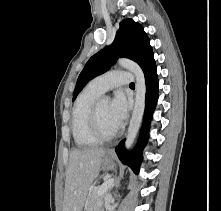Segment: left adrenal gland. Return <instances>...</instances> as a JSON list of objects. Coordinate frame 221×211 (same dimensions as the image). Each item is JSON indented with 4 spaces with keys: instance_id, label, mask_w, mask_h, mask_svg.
<instances>
[{
    "instance_id": "1",
    "label": "left adrenal gland",
    "mask_w": 221,
    "mask_h": 211,
    "mask_svg": "<svg viewBox=\"0 0 221 211\" xmlns=\"http://www.w3.org/2000/svg\"><path fill=\"white\" fill-rule=\"evenodd\" d=\"M113 186H115L116 188L119 187V182H116Z\"/></svg>"
}]
</instances>
